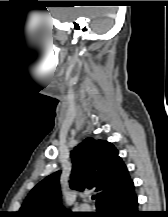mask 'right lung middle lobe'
Returning a JSON list of instances; mask_svg holds the SVG:
<instances>
[{
  "mask_svg": "<svg viewBox=\"0 0 168 217\" xmlns=\"http://www.w3.org/2000/svg\"><path fill=\"white\" fill-rule=\"evenodd\" d=\"M55 217H75L74 215H58V216H55Z\"/></svg>",
  "mask_w": 168,
  "mask_h": 217,
  "instance_id": "obj_1",
  "label": "right lung middle lobe"
}]
</instances>
